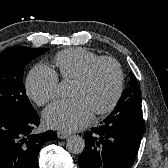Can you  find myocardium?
I'll list each match as a JSON object with an SVG mask.
<instances>
[{"label": "myocardium", "instance_id": "obj_1", "mask_svg": "<svg viewBox=\"0 0 168 168\" xmlns=\"http://www.w3.org/2000/svg\"><path fill=\"white\" fill-rule=\"evenodd\" d=\"M102 63H110L114 66L116 70V85L114 93L110 98L109 102L104 107L94 111L96 115H104L110 113L116 107L121 98L124 86V73L121 64L113 57L101 56L89 63L84 71L77 78L74 79L75 82L86 83L92 76L97 66Z\"/></svg>", "mask_w": 168, "mask_h": 168}]
</instances>
